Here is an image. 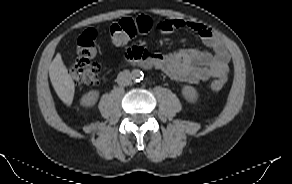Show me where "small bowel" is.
<instances>
[{
    "label": "small bowel",
    "instance_id": "1",
    "mask_svg": "<svg viewBox=\"0 0 292 184\" xmlns=\"http://www.w3.org/2000/svg\"><path fill=\"white\" fill-rule=\"evenodd\" d=\"M158 32L168 34L177 29H190L197 33L210 51L182 49L165 55H152L156 66L170 78L188 83H198L210 78H220L228 70L230 54L220 36L210 27L178 18L155 21Z\"/></svg>",
    "mask_w": 292,
    "mask_h": 184
}]
</instances>
